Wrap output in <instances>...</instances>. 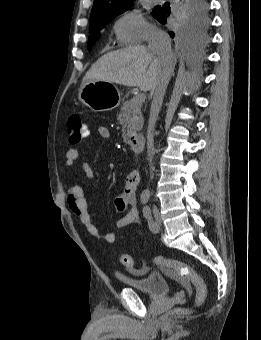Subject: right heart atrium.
<instances>
[{"label":"right heart atrium","mask_w":261,"mask_h":340,"mask_svg":"<svg viewBox=\"0 0 261 340\" xmlns=\"http://www.w3.org/2000/svg\"><path fill=\"white\" fill-rule=\"evenodd\" d=\"M114 30L122 44L140 43L157 33L138 10L121 13L114 22Z\"/></svg>","instance_id":"d8ad5b80"}]
</instances>
